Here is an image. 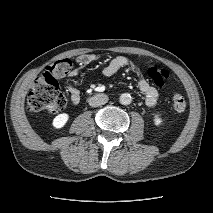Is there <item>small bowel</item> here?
<instances>
[{
  "label": "small bowel",
  "mask_w": 213,
  "mask_h": 213,
  "mask_svg": "<svg viewBox=\"0 0 213 213\" xmlns=\"http://www.w3.org/2000/svg\"><path fill=\"white\" fill-rule=\"evenodd\" d=\"M98 57L95 54H84L76 58L77 67L69 72L70 77H76L80 74L81 70L88 65L97 61ZM124 67H130L138 77V87L140 91L145 96V103L148 107H153L158 101L159 92L158 90L149 84V82L144 78L140 68L136 65L134 61L126 56H117L112 59L107 66L104 67L102 73L106 77L113 76L120 69ZM67 90L70 94L71 101L77 104L80 101V91L72 86L68 85Z\"/></svg>",
  "instance_id": "obj_1"
}]
</instances>
